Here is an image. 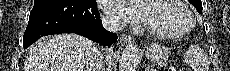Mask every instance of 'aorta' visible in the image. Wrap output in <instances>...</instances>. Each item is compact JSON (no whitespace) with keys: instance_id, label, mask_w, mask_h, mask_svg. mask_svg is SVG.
<instances>
[{"instance_id":"762f6f07","label":"aorta","mask_w":230,"mask_h":71,"mask_svg":"<svg viewBox=\"0 0 230 71\" xmlns=\"http://www.w3.org/2000/svg\"><path fill=\"white\" fill-rule=\"evenodd\" d=\"M139 62L138 47L136 44L131 43L122 52L119 60V71H135Z\"/></svg>"}]
</instances>
